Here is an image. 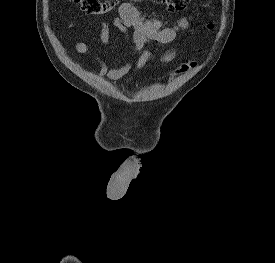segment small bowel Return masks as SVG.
<instances>
[{
	"mask_svg": "<svg viewBox=\"0 0 275 263\" xmlns=\"http://www.w3.org/2000/svg\"><path fill=\"white\" fill-rule=\"evenodd\" d=\"M189 22L190 17L186 15L183 16L176 25L163 27L162 20L159 17L144 18L132 3L124 2L120 4L118 7V15L114 18L113 25L123 35L124 43L128 42L130 37L129 31H132V53L139 54V57L135 62L129 60L123 65L114 68H109L106 62L96 57L95 61L99 67L96 75L105 77L110 81H116L124 77L134 63L136 71L142 70L153 60L152 52L145 50V46L150 42L162 44L173 42L177 33L180 30L186 29ZM72 26L71 24L70 27ZM100 42L104 46H107L110 42V24L107 21H103L101 24ZM74 48L80 54H90V49L85 42H76ZM175 57V50L170 49L161 56V61L163 63H169L173 61Z\"/></svg>",
	"mask_w": 275,
	"mask_h": 263,
	"instance_id": "obj_1",
	"label": "small bowel"
}]
</instances>
